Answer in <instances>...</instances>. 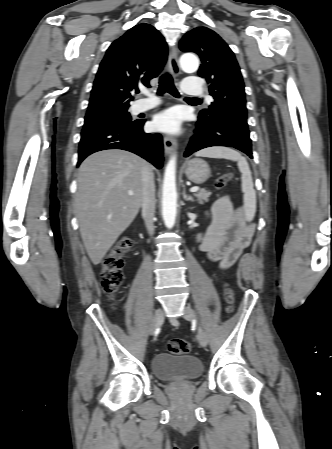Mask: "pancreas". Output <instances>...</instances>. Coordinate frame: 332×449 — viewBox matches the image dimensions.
Listing matches in <instances>:
<instances>
[{
	"label": "pancreas",
	"mask_w": 332,
	"mask_h": 449,
	"mask_svg": "<svg viewBox=\"0 0 332 449\" xmlns=\"http://www.w3.org/2000/svg\"><path fill=\"white\" fill-rule=\"evenodd\" d=\"M211 195V192L206 190H200L195 194L197 197V201L199 204H204L205 202H208V197Z\"/></svg>",
	"instance_id": "pancreas-1"
}]
</instances>
